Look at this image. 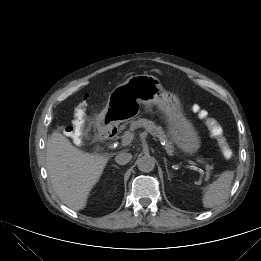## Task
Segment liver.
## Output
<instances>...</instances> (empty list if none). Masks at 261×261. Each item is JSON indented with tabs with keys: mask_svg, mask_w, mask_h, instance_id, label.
Returning a JSON list of instances; mask_svg holds the SVG:
<instances>
[{
	"mask_svg": "<svg viewBox=\"0 0 261 261\" xmlns=\"http://www.w3.org/2000/svg\"><path fill=\"white\" fill-rule=\"evenodd\" d=\"M109 156L86 153L61 133L46 143V165L52 187L61 201L73 210L85 208L91 189L100 179Z\"/></svg>",
	"mask_w": 261,
	"mask_h": 261,
	"instance_id": "6515ba94",
	"label": "liver"
}]
</instances>
